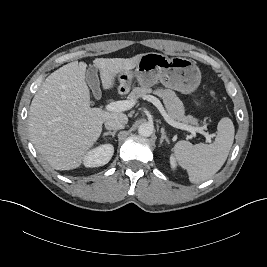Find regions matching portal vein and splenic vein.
<instances>
[{
	"mask_svg": "<svg viewBox=\"0 0 267 267\" xmlns=\"http://www.w3.org/2000/svg\"><path fill=\"white\" fill-rule=\"evenodd\" d=\"M144 99L153 103V105H155V107L159 110V112L161 113V115L163 116L165 121L168 124H170L171 126L190 132L192 134L191 137H195L196 132H198V133H200L206 137L207 142H209V143L211 142L212 135H210L207 132H204L202 130V128L193 127V126H190V125H187L184 123L177 122L174 119H172L169 116V114L166 112L165 108L163 107L162 103L160 102V100L158 98H156L152 95H147L144 97ZM134 105H135L134 100L115 101V102H111V103L107 104L105 106V109L107 111H111V112H122V111H126V110L131 109Z\"/></svg>",
	"mask_w": 267,
	"mask_h": 267,
	"instance_id": "obj_1",
	"label": "portal vein and splenic vein"
}]
</instances>
